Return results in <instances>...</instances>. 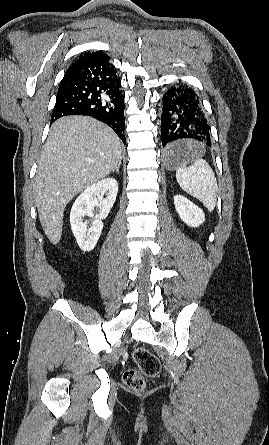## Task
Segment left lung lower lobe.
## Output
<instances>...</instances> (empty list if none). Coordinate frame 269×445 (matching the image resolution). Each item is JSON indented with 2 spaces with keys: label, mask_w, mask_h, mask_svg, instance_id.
Listing matches in <instances>:
<instances>
[{
  "label": "left lung lower lobe",
  "mask_w": 269,
  "mask_h": 445,
  "mask_svg": "<svg viewBox=\"0 0 269 445\" xmlns=\"http://www.w3.org/2000/svg\"><path fill=\"white\" fill-rule=\"evenodd\" d=\"M161 136L167 154L177 152L185 140L211 146L210 126L202 102L183 83L170 87L163 95Z\"/></svg>",
  "instance_id": "0a47b994"
}]
</instances>
